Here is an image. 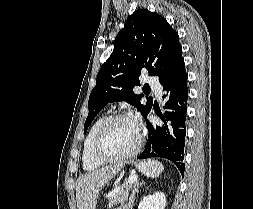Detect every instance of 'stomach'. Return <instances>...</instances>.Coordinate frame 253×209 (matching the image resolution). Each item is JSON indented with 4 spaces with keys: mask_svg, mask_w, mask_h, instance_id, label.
I'll return each mask as SVG.
<instances>
[{
    "mask_svg": "<svg viewBox=\"0 0 253 209\" xmlns=\"http://www.w3.org/2000/svg\"><path fill=\"white\" fill-rule=\"evenodd\" d=\"M102 186H111V181H102Z\"/></svg>",
    "mask_w": 253,
    "mask_h": 209,
    "instance_id": "obj_1",
    "label": "stomach"
}]
</instances>
